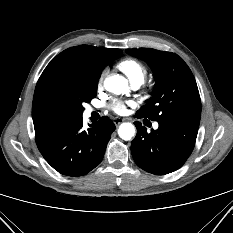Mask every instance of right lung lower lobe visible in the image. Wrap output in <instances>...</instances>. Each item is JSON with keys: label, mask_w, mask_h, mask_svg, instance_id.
<instances>
[{"label": "right lung lower lobe", "mask_w": 233, "mask_h": 233, "mask_svg": "<svg viewBox=\"0 0 233 233\" xmlns=\"http://www.w3.org/2000/svg\"><path fill=\"white\" fill-rule=\"evenodd\" d=\"M82 126V116L71 117L35 134L36 144L45 160L63 175H85L98 166L115 130L108 117L89 125L86 131Z\"/></svg>", "instance_id": "98d812e1"}]
</instances>
